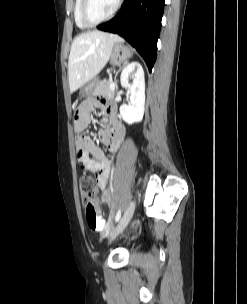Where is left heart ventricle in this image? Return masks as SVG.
<instances>
[{
	"instance_id": "left-heart-ventricle-1",
	"label": "left heart ventricle",
	"mask_w": 247,
	"mask_h": 304,
	"mask_svg": "<svg viewBox=\"0 0 247 304\" xmlns=\"http://www.w3.org/2000/svg\"><path fill=\"white\" fill-rule=\"evenodd\" d=\"M118 0H90L88 16L93 21L107 17L116 7Z\"/></svg>"
}]
</instances>
